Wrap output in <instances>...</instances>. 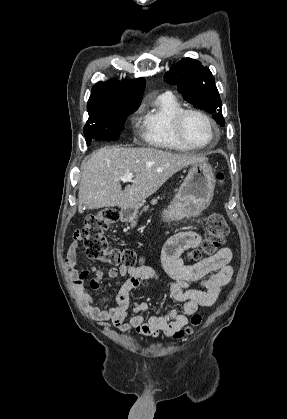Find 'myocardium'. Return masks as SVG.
I'll use <instances>...</instances> for the list:
<instances>
[{
	"label": "myocardium",
	"mask_w": 287,
	"mask_h": 419,
	"mask_svg": "<svg viewBox=\"0 0 287 419\" xmlns=\"http://www.w3.org/2000/svg\"><path fill=\"white\" fill-rule=\"evenodd\" d=\"M197 115L199 117H201L209 126L210 131H211V139L204 144H194L192 142H190L184 135L183 132V123L185 118L188 115ZM173 128H174V132L177 136V138L180 140V142L182 144H184L185 146L191 148V149H204L207 148L209 146H211L212 144H214L217 139H218V131L216 128L215 123L212 121V119L203 111L198 110V109H194V108H183L182 110H180L173 119Z\"/></svg>",
	"instance_id": "obj_1"
}]
</instances>
